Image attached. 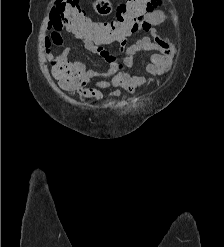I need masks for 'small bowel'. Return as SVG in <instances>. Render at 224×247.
I'll return each instance as SVG.
<instances>
[{
	"instance_id": "1",
	"label": "small bowel",
	"mask_w": 224,
	"mask_h": 247,
	"mask_svg": "<svg viewBox=\"0 0 224 247\" xmlns=\"http://www.w3.org/2000/svg\"><path fill=\"white\" fill-rule=\"evenodd\" d=\"M93 7L97 13L106 15L111 11V2L110 0H95ZM168 19L169 16L162 10H154L147 14L139 25V29L143 33L141 36L130 44H128L129 36L115 41L119 44L120 57L110 54L104 48V45L109 42L82 39L88 52L103 57L110 64V68L105 72L88 70L84 73L83 84L94 85V87L83 91L84 96L100 101L103 98L101 89L117 88V91L107 96L115 98L122 92L133 93L139 88L151 85L158 78L164 76L170 68L175 47L169 38H162L155 27ZM45 25L51 31L50 36L46 37L44 41L46 52L49 53L51 46L55 45L61 48V52L53 59H66L69 50L63 46V32L70 30L62 22L54 6L48 12ZM141 52H154L150 56V62L141 67L151 77L146 78L130 72L135 65L136 55Z\"/></svg>"
}]
</instances>
